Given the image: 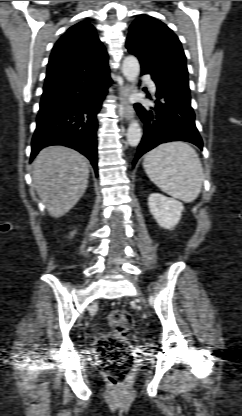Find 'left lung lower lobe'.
Wrapping results in <instances>:
<instances>
[{"mask_svg":"<svg viewBox=\"0 0 242 416\" xmlns=\"http://www.w3.org/2000/svg\"><path fill=\"white\" fill-rule=\"evenodd\" d=\"M142 74L149 72L142 68ZM157 92L154 107L136 103L135 109L145 123L144 135L138 146L133 165L149 150L170 141H186L200 149L203 142L195 126V114L190 97L160 85L155 78Z\"/></svg>","mask_w":242,"mask_h":416,"instance_id":"1","label":"left lung lower lobe"}]
</instances>
